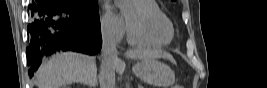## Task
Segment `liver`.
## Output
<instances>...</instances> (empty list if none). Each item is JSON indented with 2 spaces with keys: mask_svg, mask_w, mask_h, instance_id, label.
I'll return each instance as SVG.
<instances>
[{
  "mask_svg": "<svg viewBox=\"0 0 267 88\" xmlns=\"http://www.w3.org/2000/svg\"><path fill=\"white\" fill-rule=\"evenodd\" d=\"M125 55L131 59H169L172 56L166 52L154 49L137 48L129 50ZM125 62L117 59L114 69L118 74L125 71ZM97 66L93 57L72 52L60 53L44 62L36 73L38 88H60L75 82L88 85L96 83Z\"/></svg>",
  "mask_w": 267,
  "mask_h": 88,
  "instance_id": "6515ba94",
  "label": "liver"
}]
</instances>
